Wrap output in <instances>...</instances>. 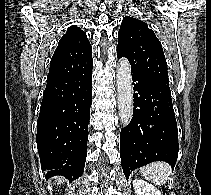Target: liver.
Instances as JSON below:
<instances>
[{
  "mask_svg": "<svg viewBox=\"0 0 211 195\" xmlns=\"http://www.w3.org/2000/svg\"><path fill=\"white\" fill-rule=\"evenodd\" d=\"M55 179V181L57 182V183H61V182H63L64 180L62 179V178H60V177H56V178H54Z\"/></svg>",
  "mask_w": 211,
  "mask_h": 195,
  "instance_id": "liver-1",
  "label": "liver"
}]
</instances>
